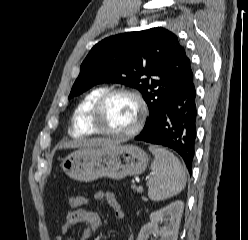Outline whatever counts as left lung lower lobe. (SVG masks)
<instances>
[{
	"instance_id": "0a47b994",
	"label": "left lung lower lobe",
	"mask_w": 248,
	"mask_h": 240,
	"mask_svg": "<svg viewBox=\"0 0 248 240\" xmlns=\"http://www.w3.org/2000/svg\"><path fill=\"white\" fill-rule=\"evenodd\" d=\"M196 124V89L192 79L166 99L164 106L135 139L172 148L180 154L191 173Z\"/></svg>"
}]
</instances>
